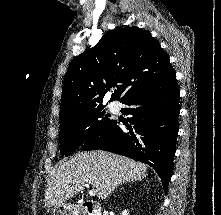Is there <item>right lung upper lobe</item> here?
<instances>
[{
  "instance_id": "right-lung-upper-lobe-1",
  "label": "right lung upper lobe",
  "mask_w": 221,
  "mask_h": 215,
  "mask_svg": "<svg viewBox=\"0 0 221 215\" xmlns=\"http://www.w3.org/2000/svg\"><path fill=\"white\" fill-rule=\"evenodd\" d=\"M171 69L169 58L146 30L117 28L107 32L91 49L69 65L61 96V120L102 107L112 87L120 102L164 77Z\"/></svg>"
}]
</instances>
